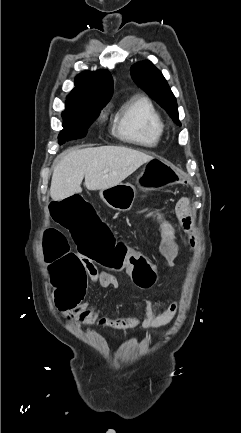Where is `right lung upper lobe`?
I'll return each mask as SVG.
<instances>
[{"mask_svg": "<svg viewBox=\"0 0 241 433\" xmlns=\"http://www.w3.org/2000/svg\"><path fill=\"white\" fill-rule=\"evenodd\" d=\"M113 92L112 76L107 70L84 72L75 79V88L67 96L66 104H107Z\"/></svg>", "mask_w": 241, "mask_h": 433, "instance_id": "1", "label": "right lung upper lobe"}]
</instances>
